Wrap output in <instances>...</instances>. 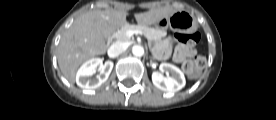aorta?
<instances>
[{
	"mask_svg": "<svg viewBox=\"0 0 276 120\" xmlns=\"http://www.w3.org/2000/svg\"><path fill=\"white\" fill-rule=\"evenodd\" d=\"M132 53L136 57H142L144 55V48L141 45H135L132 48Z\"/></svg>",
	"mask_w": 276,
	"mask_h": 120,
	"instance_id": "obj_1",
	"label": "aorta"
}]
</instances>
